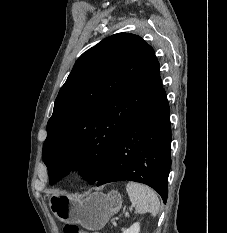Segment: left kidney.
<instances>
[{"mask_svg": "<svg viewBox=\"0 0 227 233\" xmlns=\"http://www.w3.org/2000/svg\"><path fill=\"white\" fill-rule=\"evenodd\" d=\"M140 223L136 222L130 228L123 230V233H139Z\"/></svg>", "mask_w": 227, "mask_h": 233, "instance_id": "1", "label": "left kidney"}]
</instances>
